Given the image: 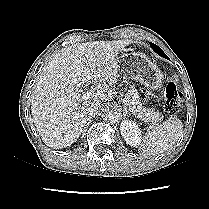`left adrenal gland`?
Returning a JSON list of instances; mask_svg holds the SVG:
<instances>
[{
  "instance_id": "1",
  "label": "left adrenal gland",
  "mask_w": 209,
  "mask_h": 209,
  "mask_svg": "<svg viewBox=\"0 0 209 209\" xmlns=\"http://www.w3.org/2000/svg\"><path fill=\"white\" fill-rule=\"evenodd\" d=\"M128 113H129V111L127 110V108H126V107H124L123 116L125 117Z\"/></svg>"
}]
</instances>
